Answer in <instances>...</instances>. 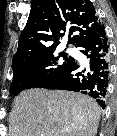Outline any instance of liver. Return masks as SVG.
Returning <instances> with one entry per match:
<instances>
[{
    "mask_svg": "<svg viewBox=\"0 0 117 136\" xmlns=\"http://www.w3.org/2000/svg\"><path fill=\"white\" fill-rule=\"evenodd\" d=\"M100 115L98 104L81 93L29 89L13 102L9 136H95Z\"/></svg>",
    "mask_w": 117,
    "mask_h": 136,
    "instance_id": "6515ba94",
    "label": "liver"
}]
</instances>
